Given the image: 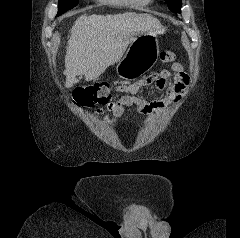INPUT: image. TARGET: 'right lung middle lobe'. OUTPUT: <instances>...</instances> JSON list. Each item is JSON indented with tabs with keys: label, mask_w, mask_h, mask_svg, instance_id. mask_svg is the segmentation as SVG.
<instances>
[{
	"label": "right lung middle lobe",
	"mask_w": 240,
	"mask_h": 238,
	"mask_svg": "<svg viewBox=\"0 0 240 238\" xmlns=\"http://www.w3.org/2000/svg\"><path fill=\"white\" fill-rule=\"evenodd\" d=\"M78 1L79 0H59L57 16L75 7L78 4Z\"/></svg>",
	"instance_id": "1"
}]
</instances>
